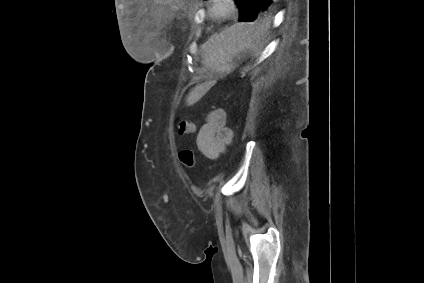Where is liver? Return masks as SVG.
Returning a JSON list of instances; mask_svg holds the SVG:
<instances>
[{"mask_svg": "<svg viewBox=\"0 0 424 283\" xmlns=\"http://www.w3.org/2000/svg\"><path fill=\"white\" fill-rule=\"evenodd\" d=\"M247 29L249 31L251 30V28H244V27H241V26L230 27V28L226 29L219 37H217L216 41H221L223 43L224 49L226 51H229L233 47H235L237 44H240L241 39L245 35L244 31L247 30ZM203 48L206 49V47H203ZM212 55L213 54H209V55L204 56V60L202 61L204 66L211 67L212 61H213ZM190 95H192V94H190ZM190 98H192V97L189 96L187 98L186 102H189Z\"/></svg>", "mask_w": 424, "mask_h": 283, "instance_id": "liver-1", "label": "liver"}]
</instances>
